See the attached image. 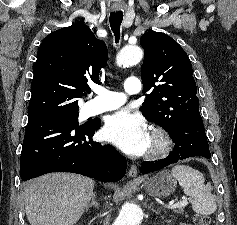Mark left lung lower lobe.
Returning <instances> with one entry per match:
<instances>
[{"label":"left lung lower lobe","instance_id":"0a47b994","mask_svg":"<svg viewBox=\"0 0 237 225\" xmlns=\"http://www.w3.org/2000/svg\"><path fill=\"white\" fill-rule=\"evenodd\" d=\"M175 146L170 156L163 161L144 162L141 173L162 169L170 164L194 156L211 157L207 137L199 111L187 116L180 124L169 131Z\"/></svg>","mask_w":237,"mask_h":225}]
</instances>
